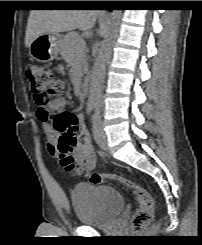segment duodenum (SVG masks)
I'll return each mask as SVG.
<instances>
[{
  "label": "duodenum",
  "instance_id": "duodenum-1",
  "mask_svg": "<svg viewBox=\"0 0 202 245\" xmlns=\"http://www.w3.org/2000/svg\"><path fill=\"white\" fill-rule=\"evenodd\" d=\"M90 87V77L86 76L82 79L80 84V91L82 93H86L89 90Z\"/></svg>",
  "mask_w": 202,
  "mask_h": 245
}]
</instances>
